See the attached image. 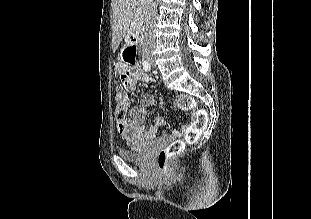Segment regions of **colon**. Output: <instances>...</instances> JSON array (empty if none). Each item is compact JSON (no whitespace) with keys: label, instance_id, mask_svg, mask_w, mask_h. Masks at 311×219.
Returning <instances> with one entry per match:
<instances>
[{"label":"colon","instance_id":"obj_1","mask_svg":"<svg viewBox=\"0 0 311 219\" xmlns=\"http://www.w3.org/2000/svg\"><path fill=\"white\" fill-rule=\"evenodd\" d=\"M126 60L129 63L136 62V55L128 52ZM119 85L121 91L116 96L115 118L122 122L126 118L129 101L123 92L126 88V77L120 76ZM177 106L184 111L192 112V121L189 126L184 129V138L187 143H195L200 138L201 134L206 129L208 115L206 110L200 109L197 106L195 99L188 94H181L177 99ZM184 149L182 140H174L166 148L160 150L157 155L158 167L161 171H168L171 160L179 155Z\"/></svg>","mask_w":311,"mask_h":219}]
</instances>
